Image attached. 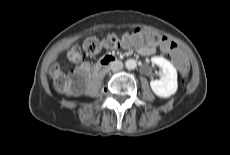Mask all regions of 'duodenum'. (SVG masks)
Masks as SVG:
<instances>
[{"label":"duodenum","instance_id":"obj_1","mask_svg":"<svg viewBox=\"0 0 230 155\" xmlns=\"http://www.w3.org/2000/svg\"><path fill=\"white\" fill-rule=\"evenodd\" d=\"M118 58L114 57L112 55H105L103 56L98 63L96 64L94 70H93V77L99 76L107 67L110 65L117 63Z\"/></svg>","mask_w":230,"mask_h":155}]
</instances>
